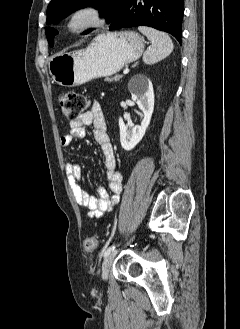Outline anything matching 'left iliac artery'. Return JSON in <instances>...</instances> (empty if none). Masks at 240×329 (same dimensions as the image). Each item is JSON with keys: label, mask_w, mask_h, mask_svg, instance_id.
<instances>
[{"label": "left iliac artery", "mask_w": 240, "mask_h": 329, "mask_svg": "<svg viewBox=\"0 0 240 329\" xmlns=\"http://www.w3.org/2000/svg\"><path fill=\"white\" fill-rule=\"evenodd\" d=\"M116 248L115 245H111L110 247L107 248V250L104 253V257L108 256L112 251H114Z\"/></svg>", "instance_id": "obj_1"}]
</instances>
